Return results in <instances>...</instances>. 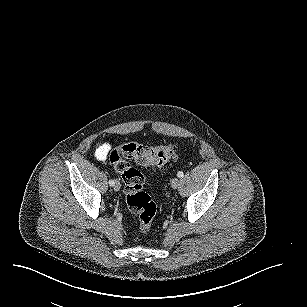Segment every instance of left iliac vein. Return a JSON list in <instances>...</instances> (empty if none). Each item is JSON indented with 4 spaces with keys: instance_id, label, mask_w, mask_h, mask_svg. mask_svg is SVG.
<instances>
[{
    "instance_id": "obj_1",
    "label": "left iliac vein",
    "mask_w": 307,
    "mask_h": 307,
    "mask_svg": "<svg viewBox=\"0 0 307 307\" xmlns=\"http://www.w3.org/2000/svg\"><path fill=\"white\" fill-rule=\"evenodd\" d=\"M179 185H180V179L173 178L172 181H171V187L173 189H177Z\"/></svg>"
}]
</instances>
